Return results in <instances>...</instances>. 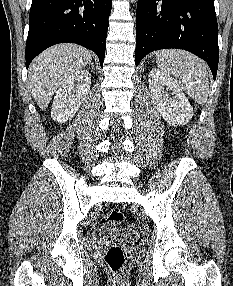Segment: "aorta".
<instances>
[{
	"label": "aorta",
	"instance_id": "aorta-1",
	"mask_svg": "<svg viewBox=\"0 0 233 286\" xmlns=\"http://www.w3.org/2000/svg\"><path fill=\"white\" fill-rule=\"evenodd\" d=\"M131 2H132V3H135V2H137V0H131Z\"/></svg>",
	"mask_w": 233,
	"mask_h": 286
}]
</instances>
